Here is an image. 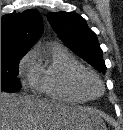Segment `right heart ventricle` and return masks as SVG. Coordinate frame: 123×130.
<instances>
[{"mask_svg":"<svg viewBox=\"0 0 123 130\" xmlns=\"http://www.w3.org/2000/svg\"><path fill=\"white\" fill-rule=\"evenodd\" d=\"M86 67L63 45L54 43L33 55L29 83L48 98L66 103H83L87 97L79 90L76 77Z\"/></svg>","mask_w":123,"mask_h":130,"instance_id":"1","label":"right heart ventricle"}]
</instances>
